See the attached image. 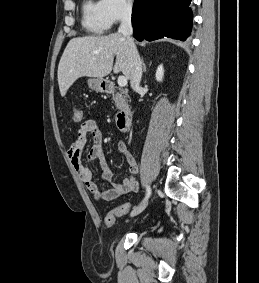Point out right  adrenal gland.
Returning a JSON list of instances; mask_svg holds the SVG:
<instances>
[{"label":"right adrenal gland","instance_id":"1","mask_svg":"<svg viewBox=\"0 0 259 283\" xmlns=\"http://www.w3.org/2000/svg\"><path fill=\"white\" fill-rule=\"evenodd\" d=\"M141 63H142L143 73H145L146 72V65H145L143 59H141Z\"/></svg>","mask_w":259,"mask_h":283}]
</instances>
